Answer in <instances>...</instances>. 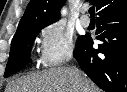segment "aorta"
Masks as SVG:
<instances>
[{
    "mask_svg": "<svg viewBox=\"0 0 127 92\" xmlns=\"http://www.w3.org/2000/svg\"><path fill=\"white\" fill-rule=\"evenodd\" d=\"M65 12H66V11H65V9H64V10H63V14H65Z\"/></svg>",
    "mask_w": 127,
    "mask_h": 92,
    "instance_id": "obj_1",
    "label": "aorta"
}]
</instances>
